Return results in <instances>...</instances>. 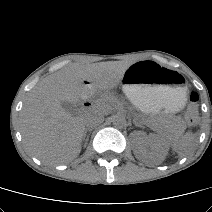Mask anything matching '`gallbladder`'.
<instances>
[{"label": "gallbladder", "mask_w": 212, "mask_h": 212, "mask_svg": "<svg viewBox=\"0 0 212 212\" xmlns=\"http://www.w3.org/2000/svg\"><path fill=\"white\" fill-rule=\"evenodd\" d=\"M61 106H62V108H63L66 112H68V113H70V114H74L75 111H76V107H75V105L72 104V103H69V102H62V103H61Z\"/></svg>", "instance_id": "1"}]
</instances>
